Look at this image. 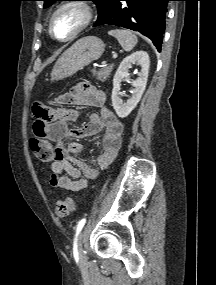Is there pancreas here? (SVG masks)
<instances>
[{"instance_id":"1","label":"pancreas","mask_w":216,"mask_h":285,"mask_svg":"<svg viewBox=\"0 0 216 285\" xmlns=\"http://www.w3.org/2000/svg\"><path fill=\"white\" fill-rule=\"evenodd\" d=\"M113 67H114V64H111V65L104 67L100 70H93L92 71L93 76L96 77V79L98 81L105 82L109 78V76L113 70Z\"/></svg>"}]
</instances>
